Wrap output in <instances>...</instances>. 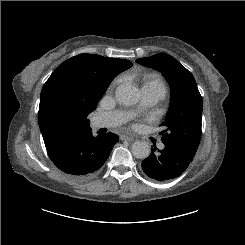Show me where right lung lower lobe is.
<instances>
[{
    "label": "right lung lower lobe",
    "mask_w": 245,
    "mask_h": 245,
    "mask_svg": "<svg viewBox=\"0 0 245 245\" xmlns=\"http://www.w3.org/2000/svg\"><path fill=\"white\" fill-rule=\"evenodd\" d=\"M118 139L111 133L94 137L89 129L69 141L50 159L72 178L87 180L98 173Z\"/></svg>",
    "instance_id": "98d812e1"
}]
</instances>
